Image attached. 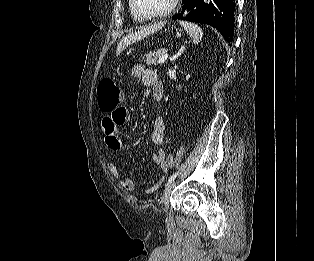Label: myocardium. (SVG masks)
I'll use <instances>...</instances> for the list:
<instances>
[{
  "label": "myocardium",
  "instance_id": "myocardium-1",
  "mask_svg": "<svg viewBox=\"0 0 314 261\" xmlns=\"http://www.w3.org/2000/svg\"><path fill=\"white\" fill-rule=\"evenodd\" d=\"M179 0H171L169 6L159 12L156 13H144L143 11H141V9L138 6L137 0H132V5H133V9L136 12V14L142 18V19H155V18H162L165 16H168L169 14H171L175 8L178 5Z\"/></svg>",
  "mask_w": 314,
  "mask_h": 261
}]
</instances>
